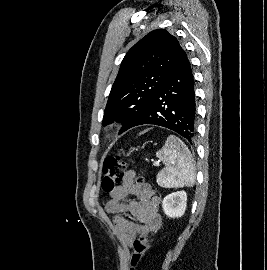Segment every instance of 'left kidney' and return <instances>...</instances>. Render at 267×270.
<instances>
[{
    "instance_id": "1",
    "label": "left kidney",
    "mask_w": 267,
    "mask_h": 270,
    "mask_svg": "<svg viewBox=\"0 0 267 270\" xmlns=\"http://www.w3.org/2000/svg\"><path fill=\"white\" fill-rule=\"evenodd\" d=\"M187 206V194L185 191H177L167 195L162 201L164 213L170 218H178L184 215Z\"/></svg>"
}]
</instances>
